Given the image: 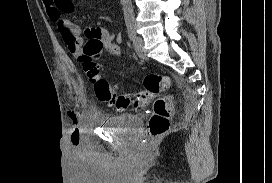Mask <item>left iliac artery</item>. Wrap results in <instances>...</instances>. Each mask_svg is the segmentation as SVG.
I'll return each instance as SVG.
<instances>
[{
    "instance_id": "obj_1",
    "label": "left iliac artery",
    "mask_w": 272,
    "mask_h": 183,
    "mask_svg": "<svg viewBox=\"0 0 272 183\" xmlns=\"http://www.w3.org/2000/svg\"><path fill=\"white\" fill-rule=\"evenodd\" d=\"M128 36L131 40L136 37V27L133 23L127 24Z\"/></svg>"
}]
</instances>
